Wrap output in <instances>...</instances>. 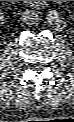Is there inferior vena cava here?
<instances>
[{"mask_svg":"<svg viewBox=\"0 0 74 122\" xmlns=\"http://www.w3.org/2000/svg\"><path fill=\"white\" fill-rule=\"evenodd\" d=\"M36 17H37V14L31 10H26L21 14L22 21L27 24L30 23V19H35Z\"/></svg>","mask_w":74,"mask_h":122,"instance_id":"602c4592","label":"inferior vena cava"}]
</instances>
